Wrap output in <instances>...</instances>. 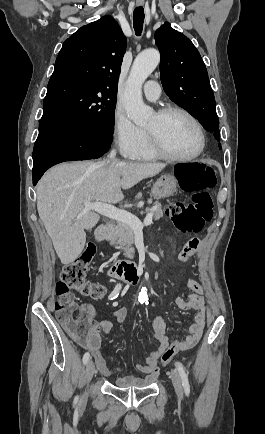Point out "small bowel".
Segmentation results:
<instances>
[{
  "mask_svg": "<svg viewBox=\"0 0 265 434\" xmlns=\"http://www.w3.org/2000/svg\"><path fill=\"white\" fill-rule=\"evenodd\" d=\"M200 242L198 237H191L186 242L177 257L180 266L188 264L190 258L198 251ZM184 287V295L175 297L174 304L183 311H196V313L188 324L187 334L183 338V347L180 351H187L197 344L201 338L206 320L204 286L192 278H186ZM77 308L86 316L84 320L85 331L80 338L81 345L90 350L96 356V364L101 365L104 362L103 357L100 356L101 338L110 332L112 322L106 318L93 321L91 315L94 314L95 310L91 306L82 304ZM112 317L117 322L122 323L127 318V310L125 308L115 309L112 312ZM153 329V337L158 342V345L156 348L149 350L143 362L137 365V369L145 373V375L142 378H120L117 381L120 387H148L150 381L152 382L159 377V372L156 371L157 360L164 352L166 341L170 340L166 334L165 321L162 316L155 318Z\"/></svg>",
  "mask_w": 265,
  "mask_h": 434,
  "instance_id": "small-bowel-1",
  "label": "small bowel"
}]
</instances>
